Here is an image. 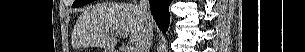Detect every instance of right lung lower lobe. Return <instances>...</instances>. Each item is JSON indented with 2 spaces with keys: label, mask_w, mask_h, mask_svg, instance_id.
Returning a JSON list of instances; mask_svg holds the SVG:
<instances>
[{
  "label": "right lung lower lobe",
  "mask_w": 305,
  "mask_h": 52,
  "mask_svg": "<svg viewBox=\"0 0 305 52\" xmlns=\"http://www.w3.org/2000/svg\"><path fill=\"white\" fill-rule=\"evenodd\" d=\"M172 0H151L150 5L152 7L153 17L164 33L167 30L170 22L169 5Z\"/></svg>",
  "instance_id": "98d812e1"
}]
</instances>
